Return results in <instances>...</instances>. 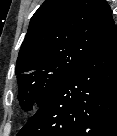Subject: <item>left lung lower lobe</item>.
Wrapping results in <instances>:
<instances>
[{
	"mask_svg": "<svg viewBox=\"0 0 117 136\" xmlns=\"http://www.w3.org/2000/svg\"><path fill=\"white\" fill-rule=\"evenodd\" d=\"M17 136H117V30L60 83Z\"/></svg>",
	"mask_w": 117,
	"mask_h": 136,
	"instance_id": "1",
	"label": "left lung lower lobe"
}]
</instances>
